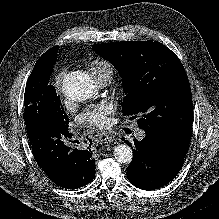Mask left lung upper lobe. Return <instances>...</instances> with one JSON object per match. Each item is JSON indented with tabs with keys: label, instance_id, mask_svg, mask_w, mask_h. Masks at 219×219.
Returning a JSON list of instances; mask_svg holds the SVG:
<instances>
[{
	"label": "left lung upper lobe",
	"instance_id": "left-lung-upper-lobe-1",
	"mask_svg": "<svg viewBox=\"0 0 219 219\" xmlns=\"http://www.w3.org/2000/svg\"><path fill=\"white\" fill-rule=\"evenodd\" d=\"M123 78V115H136L145 132L172 135L192 130V94L179 58L157 41L95 44Z\"/></svg>",
	"mask_w": 219,
	"mask_h": 219
}]
</instances>
